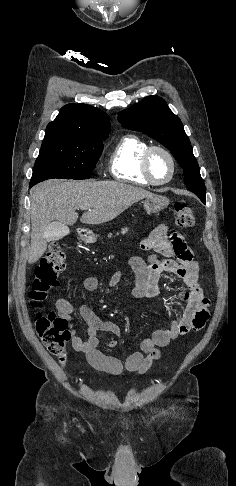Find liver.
<instances>
[{
    "label": "liver",
    "instance_id": "1",
    "mask_svg": "<svg viewBox=\"0 0 236 486\" xmlns=\"http://www.w3.org/2000/svg\"><path fill=\"white\" fill-rule=\"evenodd\" d=\"M154 194L140 187L113 181L47 180L30 193L31 248L28 263L37 262L50 241L48 227L53 220L73 225L77 209L88 210L80 221L98 225L113 220L132 204Z\"/></svg>",
    "mask_w": 236,
    "mask_h": 486
}]
</instances>
